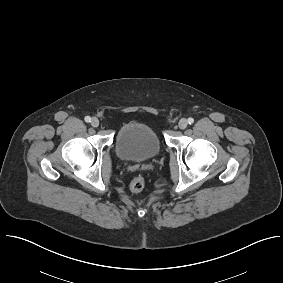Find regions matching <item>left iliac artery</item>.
<instances>
[{
    "label": "left iliac artery",
    "mask_w": 283,
    "mask_h": 283,
    "mask_svg": "<svg viewBox=\"0 0 283 283\" xmlns=\"http://www.w3.org/2000/svg\"><path fill=\"white\" fill-rule=\"evenodd\" d=\"M187 121H188L189 124H192L194 122V119L190 117V118H188Z\"/></svg>",
    "instance_id": "1"
}]
</instances>
